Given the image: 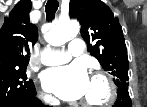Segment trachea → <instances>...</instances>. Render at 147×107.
Wrapping results in <instances>:
<instances>
[{
  "label": "trachea",
  "instance_id": "trachea-1",
  "mask_svg": "<svg viewBox=\"0 0 147 107\" xmlns=\"http://www.w3.org/2000/svg\"><path fill=\"white\" fill-rule=\"evenodd\" d=\"M59 7V2L57 0H48L46 3V16L48 19H52Z\"/></svg>",
  "mask_w": 147,
  "mask_h": 107
}]
</instances>
